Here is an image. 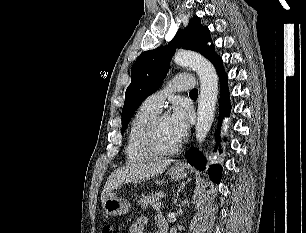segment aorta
I'll return each mask as SVG.
<instances>
[{
	"instance_id": "762f6f07",
	"label": "aorta",
	"mask_w": 306,
	"mask_h": 233,
	"mask_svg": "<svg viewBox=\"0 0 306 233\" xmlns=\"http://www.w3.org/2000/svg\"><path fill=\"white\" fill-rule=\"evenodd\" d=\"M179 66L190 67L195 70L200 79V95L198 101L196 140L202 143L210 131L218 96V76L215 67L210 61L198 53L191 51H178L173 57ZM170 233H177L172 227Z\"/></svg>"
}]
</instances>
